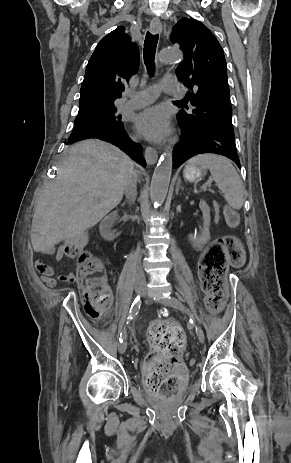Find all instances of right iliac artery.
Segmentation results:
<instances>
[{
	"instance_id": "obj_1",
	"label": "right iliac artery",
	"mask_w": 291,
	"mask_h": 463,
	"mask_svg": "<svg viewBox=\"0 0 291 463\" xmlns=\"http://www.w3.org/2000/svg\"><path fill=\"white\" fill-rule=\"evenodd\" d=\"M140 306H141V301H140V296H137L134 300V302L132 303L131 305V308H130V312H129V316H128V321H127V324L129 323L130 320L133 319V317L135 315H137V313L139 312V309H140ZM126 337V330H123L121 333H120V338H119V341L120 342H123V340L125 339Z\"/></svg>"
}]
</instances>
